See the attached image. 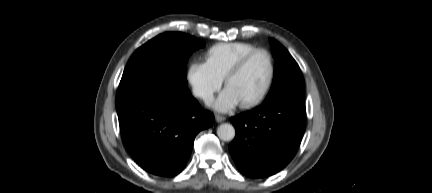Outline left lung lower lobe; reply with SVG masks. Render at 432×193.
Here are the masks:
<instances>
[{
    "label": "left lung lower lobe",
    "mask_w": 432,
    "mask_h": 193,
    "mask_svg": "<svg viewBox=\"0 0 432 193\" xmlns=\"http://www.w3.org/2000/svg\"><path fill=\"white\" fill-rule=\"evenodd\" d=\"M305 118L304 104L279 100L232 117L236 136L229 150L240 172L260 178L283 169L300 145Z\"/></svg>",
    "instance_id": "left-lung-lower-lobe-1"
}]
</instances>
